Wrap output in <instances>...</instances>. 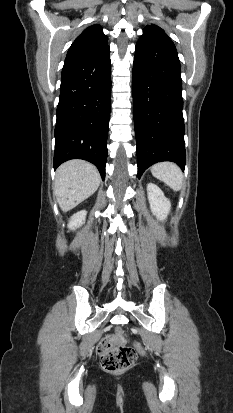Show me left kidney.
<instances>
[{
	"mask_svg": "<svg viewBox=\"0 0 233 413\" xmlns=\"http://www.w3.org/2000/svg\"><path fill=\"white\" fill-rule=\"evenodd\" d=\"M148 200L152 213L159 220H165L170 211V201L165 197L163 191L155 184L147 185Z\"/></svg>",
	"mask_w": 233,
	"mask_h": 413,
	"instance_id": "1",
	"label": "left kidney"
}]
</instances>
